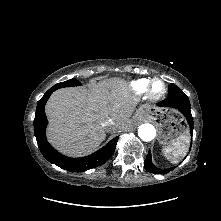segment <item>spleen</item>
Masks as SVG:
<instances>
[{
    "label": "spleen",
    "mask_w": 221,
    "mask_h": 221,
    "mask_svg": "<svg viewBox=\"0 0 221 221\" xmlns=\"http://www.w3.org/2000/svg\"><path fill=\"white\" fill-rule=\"evenodd\" d=\"M188 132L178 136L170 145L163 147V153L172 163H177L188 152Z\"/></svg>",
    "instance_id": "3e777b00"
}]
</instances>
